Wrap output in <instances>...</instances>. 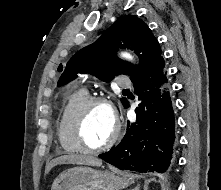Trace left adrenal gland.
Wrapping results in <instances>:
<instances>
[{
    "instance_id": "1",
    "label": "left adrenal gland",
    "mask_w": 221,
    "mask_h": 190,
    "mask_svg": "<svg viewBox=\"0 0 221 190\" xmlns=\"http://www.w3.org/2000/svg\"><path fill=\"white\" fill-rule=\"evenodd\" d=\"M140 189V186H136L134 189H131V190H139Z\"/></svg>"
}]
</instances>
